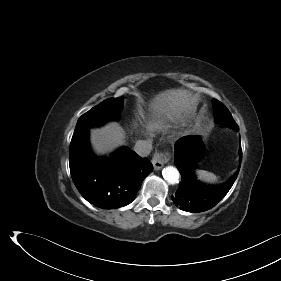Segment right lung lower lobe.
<instances>
[{
	"label": "right lung lower lobe",
	"mask_w": 281,
	"mask_h": 281,
	"mask_svg": "<svg viewBox=\"0 0 281 281\" xmlns=\"http://www.w3.org/2000/svg\"><path fill=\"white\" fill-rule=\"evenodd\" d=\"M89 130L73 134L69 148V166L80 194L101 209H114L130 204L152 164L127 147L111 158L96 157L88 140Z\"/></svg>",
	"instance_id": "1"
}]
</instances>
